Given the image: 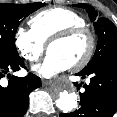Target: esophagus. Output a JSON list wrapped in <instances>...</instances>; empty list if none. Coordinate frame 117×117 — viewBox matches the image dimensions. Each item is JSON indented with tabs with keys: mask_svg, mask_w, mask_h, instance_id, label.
Wrapping results in <instances>:
<instances>
[{
	"mask_svg": "<svg viewBox=\"0 0 117 117\" xmlns=\"http://www.w3.org/2000/svg\"><path fill=\"white\" fill-rule=\"evenodd\" d=\"M42 84H43V86H48V85H51L52 82L49 81V80H45V79H43V80H42Z\"/></svg>",
	"mask_w": 117,
	"mask_h": 117,
	"instance_id": "esophagus-1",
	"label": "esophagus"
}]
</instances>
